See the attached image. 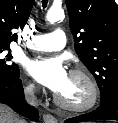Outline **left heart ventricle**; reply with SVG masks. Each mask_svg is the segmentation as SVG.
Wrapping results in <instances>:
<instances>
[{
	"mask_svg": "<svg viewBox=\"0 0 118 123\" xmlns=\"http://www.w3.org/2000/svg\"><path fill=\"white\" fill-rule=\"evenodd\" d=\"M57 94L68 103L79 104L88 98L89 90L82 78L69 75L67 84Z\"/></svg>",
	"mask_w": 118,
	"mask_h": 123,
	"instance_id": "obj_1",
	"label": "left heart ventricle"
}]
</instances>
